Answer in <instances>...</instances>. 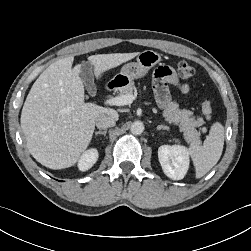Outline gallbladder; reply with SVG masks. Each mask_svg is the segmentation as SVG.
I'll return each mask as SVG.
<instances>
[{"label":"gallbladder","mask_w":251,"mask_h":251,"mask_svg":"<svg viewBox=\"0 0 251 251\" xmlns=\"http://www.w3.org/2000/svg\"><path fill=\"white\" fill-rule=\"evenodd\" d=\"M80 75L85 83L88 93L91 96H95L97 89L94 84L92 64L89 62L82 63L80 66Z\"/></svg>","instance_id":"1"}]
</instances>
